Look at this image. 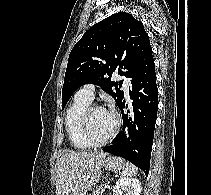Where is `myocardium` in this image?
<instances>
[{
	"mask_svg": "<svg viewBox=\"0 0 211 195\" xmlns=\"http://www.w3.org/2000/svg\"><path fill=\"white\" fill-rule=\"evenodd\" d=\"M102 109L111 111V113L113 114L114 119H115V124H114L112 131L110 132V134L106 138H104L103 140H100V141H95L91 138V136L89 134V120H90L91 114L94 111L102 110ZM120 126H121V119H120L119 115L115 111L110 110V109H108L104 106H101V105H95V104L89 105L84 110V112H83V114L80 118V133H81L83 139L91 147H100V146H103V145L107 144L108 142H110L114 138V136L117 134Z\"/></svg>",
	"mask_w": 211,
	"mask_h": 195,
	"instance_id": "f54148a6",
	"label": "myocardium"
}]
</instances>
